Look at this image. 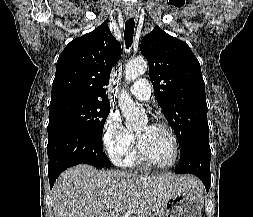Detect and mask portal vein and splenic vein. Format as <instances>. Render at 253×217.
Segmentation results:
<instances>
[{
    "label": "portal vein and splenic vein",
    "mask_w": 253,
    "mask_h": 217,
    "mask_svg": "<svg viewBox=\"0 0 253 217\" xmlns=\"http://www.w3.org/2000/svg\"><path fill=\"white\" fill-rule=\"evenodd\" d=\"M123 217H129V215H128V214H125V216H123Z\"/></svg>",
    "instance_id": "portal-vein-and-splenic-vein-1"
}]
</instances>
